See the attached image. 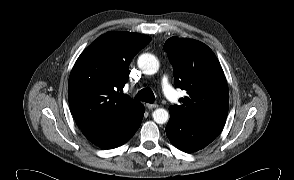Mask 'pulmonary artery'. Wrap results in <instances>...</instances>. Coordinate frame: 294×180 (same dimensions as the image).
Instances as JSON below:
<instances>
[{
    "label": "pulmonary artery",
    "instance_id": "obj_1",
    "mask_svg": "<svg viewBox=\"0 0 294 180\" xmlns=\"http://www.w3.org/2000/svg\"><path fill=\"white\" fill-rule=\"evenodd\" d=\"M163 94L171 101L176 102L178 100V95L175 90L169 84L167 78H163L161 83Z\"/></svg>",
    "mask_w": 294,
    "mask_h": 180
}]
</instances>
